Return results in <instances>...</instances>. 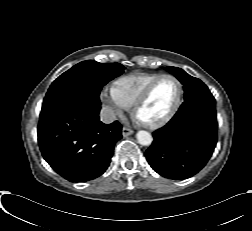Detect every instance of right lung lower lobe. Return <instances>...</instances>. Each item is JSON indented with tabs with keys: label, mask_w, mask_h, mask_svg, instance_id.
<instances>
[{
	"label": "right lung lower lobe",
	"mask_w": 252,
	"mask_h": 231,
	"mask_svg": "<svg viewBox=\"0 0 252 231\" xmlns=\"http://www.w3.org/2000/svg\"><path fill=\"white\" fill-rule=\"evenodd\" d=\"M100 108V104L89 101L66 99L41 110V153L70 182H85L102 175L110 164L115 143L122 138L118 121H100Z\"/></svg>",
	"instance_id": "1"
}]
</instances>
